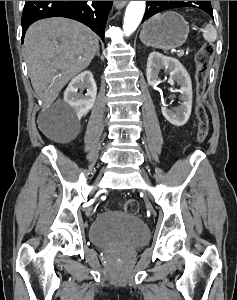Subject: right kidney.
Returning a JSON list of instances; mask_svg holds the SVG:
<instances>
[{
	"label": "right kidney",
	"mask_w": 237,
	"mask_h": 300,
	"mask_svg": "<svg viewBox=\"0 0 237 300\" xmlns=\"http://www.w3.org/2000/svg\"><path fill=\"white\" fill-rule=\"evenodd\" d=\"M84 89H86V93L82 95ZM96 95L97 87L91 71H83L69 83L64 93V101L74 109L78 119H81L92 109Z\"/></svg>",
	"instance_id": "obj_1"
}]
</instances>
